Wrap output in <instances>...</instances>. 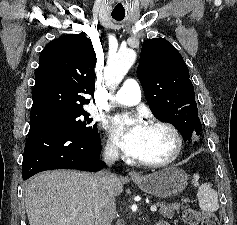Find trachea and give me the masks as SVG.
<instances>
[{
	"label": "trachea",
	"mask_w": 237,
	"mask_h": 225,
	"mask_svg": "<svg viewBox=\"0 0 237 225\" xmlns=\"http://www.w3.org/2000/svg\"><path fill=\"white\" fill-rule=\"evenodd\" d=\"M112 17L116 20H122L123 19V17H119V16H112Z\"/></svg>",
	"instance_id": "trachea-1"
}]
</instances>
